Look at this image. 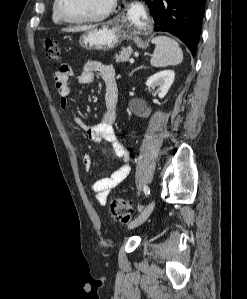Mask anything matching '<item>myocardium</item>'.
<instances>
[{"mask_svg":"<svg viewBox=\"0 0 247 299\" xmlns=\"http://www.w3.org/2000/svg\"><path fill=\"white\" fill-rule=\"evenodd\" d=\"M116 7V0H111L108 7L98 15L92 17H84V18H71L68 17L63 9H62V0H55V9L58 16L61 18L62 21L70 23V24H83V23H95L100 22L106 19L115 9Z\"/></svg>","mask_w":247,"mask_h":299,"instance_id":"1","label":"myocardium"}]
</instances>
